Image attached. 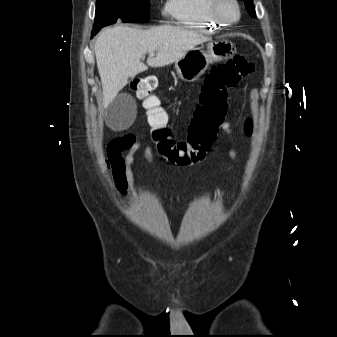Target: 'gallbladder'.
<instances>
[{"label":"gallbladder","instance_id":"gallbladder-1","mask_svg":"<svg viewBox=\"0 0 337 337\" xmlns=\"http://www.w3.org/2000/svg\"><path fill=\"white\" fill-rule=\"evenodd\" d=\"M136 116V103L134 98L127 93H122L114 98L106 110V124L113 130L129 127Z\"/></svg>","mask_w":337,"mask_h":337}]
</instances>
